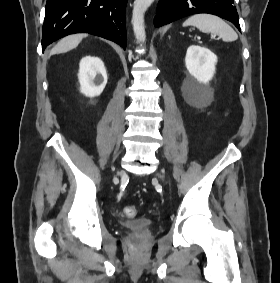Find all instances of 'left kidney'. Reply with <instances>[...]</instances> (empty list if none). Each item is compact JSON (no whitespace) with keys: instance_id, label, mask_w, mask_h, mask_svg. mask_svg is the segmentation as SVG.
<instances>
[{"instance_id":"1","label":"left kidney","mask_w":280,"mask_h":283,"mask_svg":"<svg viewBox=\"0 0 280 283\" xmlns=\"http://www.w3.org/2000/svg\"><path fill=\"white\" fill-rule=\"evenodd\" d=\"M217 56L205 47L190 45L185 56L187 71L200 83L207 84L216 71Z\"/></svg>"}]
</instances>
